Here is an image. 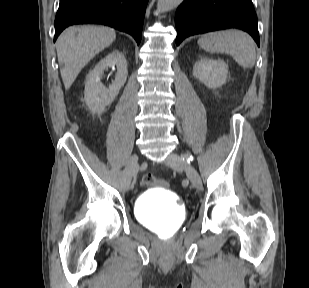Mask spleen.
I'll return each mask as SVG.
<instances>
[{"mask_svg": "<svg viewBox=\"0 0 309 288\" xmlns=\"http://www.w3.org/2000/svg\"><path fill=\"white\" fill-rule=\"evenodd\" d=\"M198 45L211 53L229 54L243 68L255 65V44L242 31L230 29L206 33L198 39Z\"/></svg>", "mask_w": 309, "mask_h": 288, "instance_id": "obj_1", "label": "spleen"}]
</instances>
